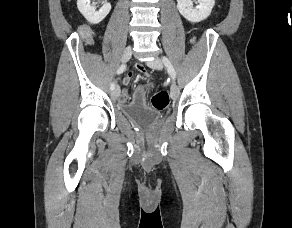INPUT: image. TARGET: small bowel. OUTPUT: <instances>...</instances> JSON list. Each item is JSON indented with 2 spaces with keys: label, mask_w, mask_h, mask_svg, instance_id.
I'll return each instance as SVG.
<instances>
[{
  "label": "small bowel",
  "mask_w": 292,
  "mask_h": 228,
  "mask_svg": "<svg viewBox=\"0 0 292 228\" xmlns=\"http://www.w3.org/2000/svg\"><path fill=\"white\" fill-rule=\"evenodd\" d=\"M138 72L144 76H148V72L141 64H136L131 71L122 81L123 85H128L133 77V73ZM150 89V85H139L134 89L132 94L131 103L133 105H145L146 104V94ZM130 100L129 94L126 90H123L120 95V101L122 103H127Z\"/></svg>",
  "instance_id": "1"
}]
</instances>
